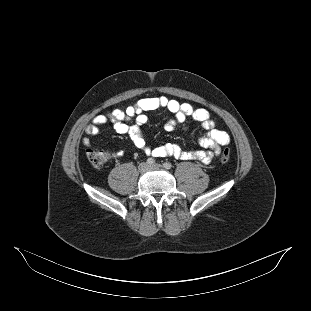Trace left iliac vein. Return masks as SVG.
I'll use <instances>...</instances> for the list:
<instances>
[{
    "label": "left iliac vein",
    "instance_id": "obj_1",
    "mask_svg": "<svg viewBox=\"0 0 311 311\" xmlns=\"http://www.w3.org/2000/svg\"><path fill=\"white\" fill-rule=\"evenodd\" d=\"M162 166L160 164H154L150 166V169H160Z\"/></svg>",
    "mask_w": 311,
    "mask_h": 311
}]
</instances>
